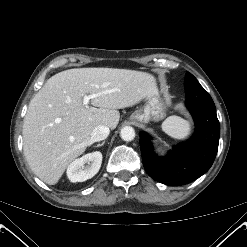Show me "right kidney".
Instances as JSON below:
<instances>
[{"mask_svg":"<svg viewBox=\"0 0 247 247\" xmlns=\"http://www.w3.org/2000/svg\"><path fill=\"white\" fill-rule=\"evenodd\" d=\"M88 165H85L87 164ZM102 153L95 151L75 159L67 168V177L71 182H83L96 175L101 167Z\"/></svg>","mask_w":247,"mask_h":247,"instance_id":"ca27d5eb","label":"right kidney"}]
</instances>
